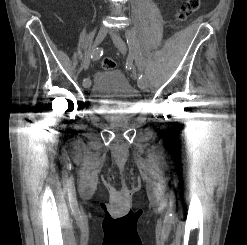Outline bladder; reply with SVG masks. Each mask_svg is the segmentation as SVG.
<instances>
[{"label":"bladder","instance_id":"31cf9c89","mask_svg":"<svg viewBox=\"0 0 247 245\" xmlns=\"http://www.w3.org/2000/svg\"><path fill=\"white\" fill-rule=\"evenodd\" d=\"M88 100L103 115L117 111L132 113L138 109L141 95L122 71L107 69L95 75Z\"/></svg>","mask_w":247,"mask_h":245}]
</instances>
